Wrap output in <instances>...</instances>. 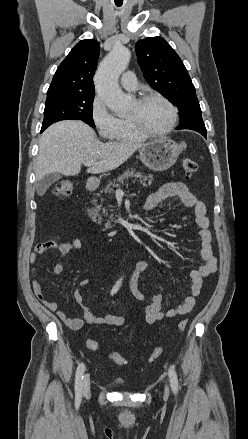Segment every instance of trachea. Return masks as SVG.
<instances>
[{
    "instance_id": "trachea-1",
    "label": "trachea",
    "mask_w": 248,
    "mask_h": 439,
    "mask_svg": "<svg viewBox=\"0 0 248 439\" xmlns=\"http://www.w3.org/2000/svg\"><path fill=\"white\" fill-rule=\"evenodd\" d=\"M116 6H117V7H120V6H121V4H116Z\"/></svg>"
}]
</instances>
